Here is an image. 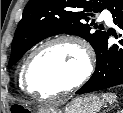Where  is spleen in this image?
Returning a JSON list of instances; mask_svg holds the SVG:
<instances>
[{
  "mask_svg": "<svg viewBox=\"0 0 123 113\" xmlns=\"http://www.w3.org/2000/svg\"><path fill=\"white\" fill-rule=\"evenodd\" d=\"M103 97L109 102L110 105L116 101V95L112 93L103 94Z\"/></svg>",
  "mask_w": 123,
  "mask_h": 113,
  "instance_id": "spleen-1",
  "label": "spleen"
}]
</instances>
